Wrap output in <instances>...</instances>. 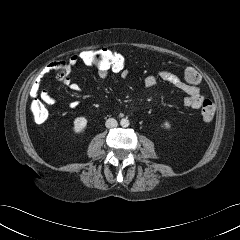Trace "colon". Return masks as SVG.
Here are the masks:
<instances>
[{
    "mask_svg": "<svg viewBox=\"0 0 240 240\" xmlns=\"http://www.w3.org/2000/svg\"><path fill=\"white\" fill-rule=\"evenodd\" d=\"M78 63L86 66H95L109 69L115 73L128 70L127 58L116 51L109 49L85 50L75 54ZM184 80L190 85H197L201 78L198 71L192 67L186 68L183 74ZM32 116L37 123H43L48 119V110L39 100H33L30 106ZM215 108L213 103L206 99L201 107V116L205 122L213 119Z\"/></svg>",
    "mask_w": 240,
    "mask_h": 240,
    "instance_id": "obj_1",
    "label": "colon"
}]
</instances>
